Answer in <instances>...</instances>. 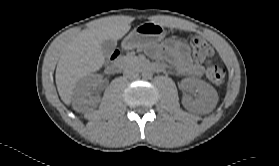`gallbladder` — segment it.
Returning a JSON list of instances; mask_svg holds the SVG:
<instances>
[{"mask_svg": "<svg viewBox=\"0 0 279 166\" xmlns=\"http://www.w3.org/2000/svg\"><path fill=\"white\" fill-rule=\"evenodd\" d=\"M116 45H117V42L114 39L104 40L101 43V50H102L104 57H109L115 50Z\"/></svg>", "mask_w": 279, "mask_h": 166, "instance_id": "1", "label": "gallbladder"}]
</instances>
